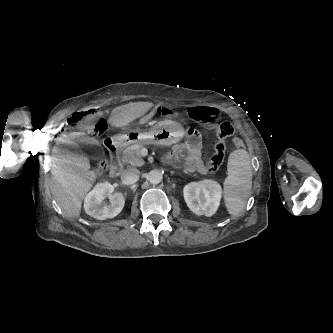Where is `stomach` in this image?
I'll return each instance as SVG.
<instances>
[{"mask_svg":"<svg viewBox=\"0 0 333 333\" xmlns=\"http://www.w3.org/2000/svg\"><path fill=\"white\" fill-rule=\"evenodd\" d=\"M184 136V129L179 123L164 120L145 130L127 129L111 139L115 145L124 147L132 143L171 145Z\"/></svg>","mask_w":333,"mask_h":333,"instance_id":"obj_1","label":"stomach"}]
</instances>
